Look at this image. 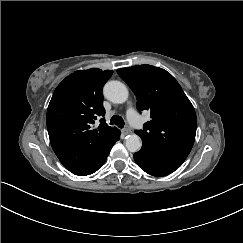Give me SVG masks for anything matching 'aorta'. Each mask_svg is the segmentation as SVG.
Segmentation results:
<instances>
[{
  "mask_svg": "<svg viewBox=\"0 0 243 243\" xmlns=\"http://www.w3.org/2000/svg\"><path fill=\"white\" fill-rule=\"evenodd\" d=\"M103 94L106 99L113 103L122 104L128 98V89L120 81H109L105 84ZM125 146L130 152H137L142 146L141 139L136 134L125 137Z\"/></svg>",
  "mask_w": 243,
  "mask_h": 243,
  "instance_id": "1",
  "label": "aorta"
}]
</instances>
